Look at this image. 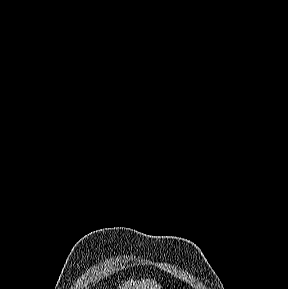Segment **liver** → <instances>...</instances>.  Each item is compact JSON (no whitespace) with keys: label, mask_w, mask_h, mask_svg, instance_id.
Here are the masks:
<instances>
[{"label":"liver","mask_w":288,"mask_h":289,"mask_svg":"<svg viewBox=\"0 0 288 289\" xmlns=\"http://www.w3.org/2000/svg\"><path fill=\"white\" fill-rule=\"evenodd\" d=\"M119 289H161V285L151 279H142V281L131 279L124 282Z\"/></svg>","instance_id":"1"}]
</instances>
